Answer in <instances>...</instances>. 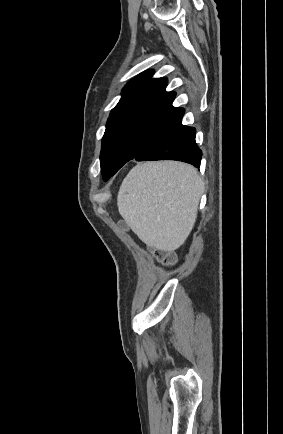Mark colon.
I'll use <instances>...</instances> for the list:
<instances>
[{
    "label": "colon",
    "mask_w": 283,
    "mask_h": 434,
    "mask_svg": "<svg viewBox=\"0 0 283 434\" xmlns=\"http://www.w3.org/2000/svg\"><path fill=\"white\" fill-rule=\"evenodd\" d=\"M155 258L157 261L167 266H170L174 263V257L172 254L166 251H156Z\"/></svg>",
    "instance_id": "colon-1"
}]
</instances>
